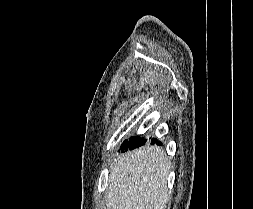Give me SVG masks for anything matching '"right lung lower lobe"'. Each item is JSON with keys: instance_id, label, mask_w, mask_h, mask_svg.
<instances>
[{"instance_id": "right-lung-lower-lobe-1", "label": "right lung lower lobe", "mask_w": 253, "mask_h": 209, "mask_svg": "<svg viewBox=\"0 0 253 209\" xmlns=\"http://www.w3.org/2000/svg\"><path fill=\"white\" fill-rule=\"evenodd\" d=\"M144 140H145V143H146L147 139H144ZM145 143H144V144H145ZM155 143L160 144V141H157L156 138H152V139H151V144H155Z\"/></svg>"}]
</instances>
